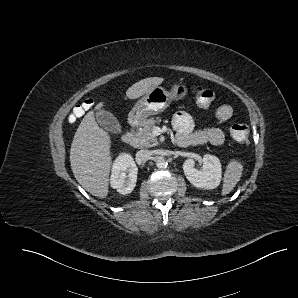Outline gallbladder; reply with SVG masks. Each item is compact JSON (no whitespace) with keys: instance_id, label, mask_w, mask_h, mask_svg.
Wrapping results in <instances>:
<instances>
[{"instance_id":"bac80fb5","label":"gallbladder","mask_w":298,"mask_h":298,"mask_svg":"<svg viewBox=\"0 0 298 298\" xmlns=\"http://www.w3.org/2000/svg\"><path fill=\"white\" fill-rule=\"evenodd\" d=\"M95 116L99 125L107 131H112L118 124L117 118L109 111L99 110Z\"/></svg>"}]
</instances>
